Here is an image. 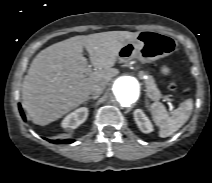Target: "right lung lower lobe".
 <instances>
[{
    "instance_id": "obj_1",
    "label": "right lung lower lobe",
    "mask_w": 212,
    "mask_h": 183,
    "mask_svg": "<svg viewBox=\"0 0 212 183\" xmlns=\"http://www.w3.org/2000/svg\"><path fill=\"white\" fill-rule=\"evenodd\" d=\"M19 110H20V113H21V116L23 117V119H25V115H24V113H23V111H22V109H21V106H19ZM72 142H74V140H65V141L56 140V141H54V143H56V144H61V143H72Z\"/></svg>"
}]
</instances>
